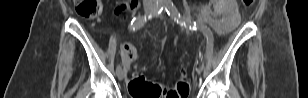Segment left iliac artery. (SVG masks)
Wrapping results in <instances>:
<instances>
[{"label": "left iliac artery", "instance_id": "1", "mask_svg": "<svg viewBox=\"0 0 308 98\" xmlns=\"http://www.w3.org/2000/svg\"><path fill=\"white\" fill-rule=\"evenodd\" d=\"M165 9L167 14L174 19L177 23L189 27V29L202 31L203 35L207 38V46L204 55L207 57L210 55L212 45L214 44V37L211 34L212 25L211 24H197L192 23L191 20L186 19L180 15L177 8L172 2H166ZM207 59V58H206Z\"/></svg>", "mask_w": 308, "mask_h": 98}]
</instances>
